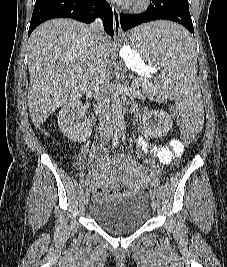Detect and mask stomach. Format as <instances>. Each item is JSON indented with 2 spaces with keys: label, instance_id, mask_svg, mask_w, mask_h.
Here are the masks:
<instances>
[{
  "label": "stomach",
  "instance_id": "1",
  "mask_svg": "<svg viewBox=\"0 0 227 267\" xmlns=\"http://www.w3.org/2000/svg\"><path fill=\"white\" fill-rule=\"evenodd\" d=\"M121 56L131 71L143 76H150L151 69L158 65V63H144V59L139 55V51H136V47H126V43L124 44Z\"/></svg>",
  "mask_w": 227,
  "mask_h": 267
}]
</instances>
